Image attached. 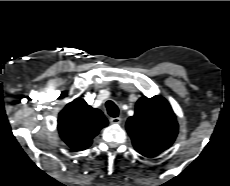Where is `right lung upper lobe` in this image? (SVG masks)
Wrapping results in <instances>:
<instances>
[{"label":"right lung upper lobe","mask_w":230,"mask_h":186,"mask_svg":"<svg viewBox=\"0 0 230 186\" xmlns=\"http://www.w3.org/2000/svg\"><path fill=\"white\" fill-rule=\"evenodd\" d=\"M107 124L108 120L99 109L92 108L80 99L67 104L58 117L59 134L75 151L88 148L93 137Z\"/></svg>","instance_id":"obj_1"}]
</instances>
